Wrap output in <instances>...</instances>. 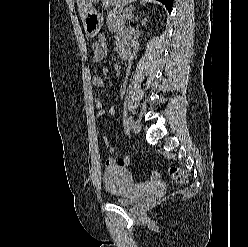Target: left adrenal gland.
I'll return each mask as SVG.
<instances>
[{"label":"left adrenal gland","instance_id":"obj_1","mask_svg":"<svg viewBox=\"0 0 248 247\" xmlns=\"http://www.w3.org/2000/svg\"><path fill=\"white\" fill-rule=\"evenodd\" d=\"M135 10V8L133 7L132 9H131V11H130V14H129V21H132L133 20V18L135 17L134 16V14H133V11Z\"/></svg>","mask_w":248,"mask_h":247}]
</instances>
